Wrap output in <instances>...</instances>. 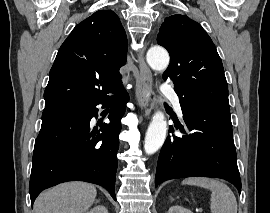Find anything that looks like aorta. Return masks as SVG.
<instances>
[{
  "instance_id": "1",
  "label": "aorta",
  "mask_w": 270,
  "mask_h": 213,
  "mask_svg": "<svg viewBox=\"0 0 270 213\" xmlns=\"http://www.w3.org/2000/svg\"><path fill=\"white\" fill-rule=\"evenodd\" d=\"M147 62L155 71H164L169 64V55L162 47H152L147 53ZM167 122L161 111H157L146 132L144 151L151 155L157 152L166 139Z\"/></svg>"
}]
</instances>
